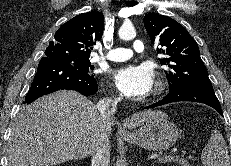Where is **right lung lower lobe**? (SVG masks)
<instances>
[{
    "label": "right lung lower lobe",
    "mask_w": 231,
    "mask_h": 166,
    "mask_svg": "<svg viewBox=\"0 0 231 166\" xmlns=\"http://www.w3.org/2000/svg\"><path fill=\"white\" fill-rule=\"evenodd\" d=\"M60 89L75 90L84 96L97 92L98 85L93 74L84 73L72 65L43 57L25 102L30 104L36 99Z\"/></svg>",
    "instance_id": "right-lung-lower-lobe-1"
}]
</instances>
